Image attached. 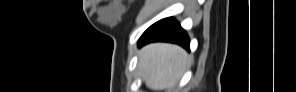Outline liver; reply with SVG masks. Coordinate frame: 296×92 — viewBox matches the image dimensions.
<instances>
[{
  "label": "liver",
  "mask_w": 296,
  "mask_h": 92,
  "mask_svg": "<svg viewBox=\"0 0 296 92\" xmlns=\"http://www.w3.org/2000/svg\"><path fill=\"white\" fill-rule=\"evenodd\" d=\"M190 65L188 53L170 43H152L139 53L140 74L146 86L152 90L172 88Z\"/></svg>",
  "instance_id": "obj_1"
}]
</instances>
